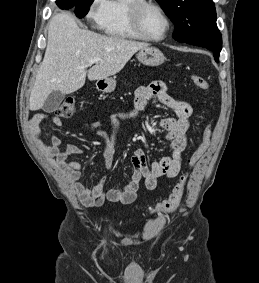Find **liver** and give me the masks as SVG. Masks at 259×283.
Wrapping results in <instances>:
<instances>
[{
  "label": "liver",
  "mask_w": 259,
  "mask_h": 283,
  "mask_svg": "<svg viewBox=\"0 0 259 283\" xmlns=\"http://www.w3.org/2000/svg\"><path fill=\"white\" fill-rule=\"evenodd\" d=\"M148 46L81 29L67 12L54 15L49 23L44 59L30 94V110L42 108L53 91H77L85 84L86 76L94 81L117 74L137 51ZM95 57L101 60L87 71L86 64Z\"/></svg>",
  "instance_id": "liver-1"
}]
</instances>
